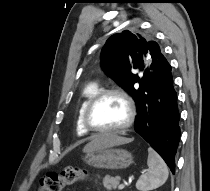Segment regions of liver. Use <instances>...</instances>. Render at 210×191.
Returning a JSON list of instances; mask_svg holds the SVG:
<instances>
[{
	"instance_id": "6515ba94",
	"label": "liver",
	"mask_w": 210,
	"mask_h": 191,
	"mask_svg": "<svg viewBox=\"0 0 210 191\" xmlns=\"http://www.w3.org/2000/svg\"><path fill=\"white\" fill-rule=\"evenodd\" d=\"M131 141L132 139L121 137L116 134L98 135L84 147L83 151L90 152L97 149L126 144Z\"/></svg>"
}]
</instances>
